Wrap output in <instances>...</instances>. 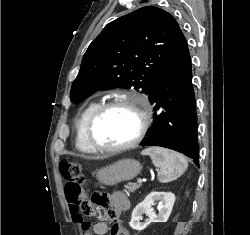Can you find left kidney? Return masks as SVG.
<instances>
[{
    "mask_svg": "<svg viewBox=\"0 0 250 235\" xmlns=\"http://www.w3.org/2000/svg\"><path fill=\"white\" fill-rule=\"evenodd\" d=\"M154 202H158V215L152 209ZM175 195L172 192H151L141 203H139L132 212V218L129 223L130 227L137 231L144 230L151 222H167L173 205ZM147 214L149 220L140 222L142 214Z\"/></svg>",
    "mask_w": 250,
    "mask_h": 235,
    "instance_id": "5707ae66",
    "label": "left kidney"
}]
</instances>
